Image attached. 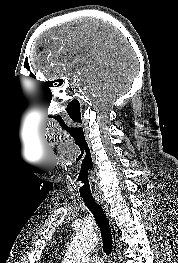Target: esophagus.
Returning <instances> with one entry per match:
<instances>
[{
    "label": "esophagus",
    "mask_w": 178,
    "mask_h": 263,
    "mask_svg": "<svg viewBox=\"0 0 178 263\" xmlns=\"http://www.w3.org/2000/svg\"><path fill=\"white\" fill-rule=\"evenodd\" d=\"M96 200L104 209V211L107 215L108 221H109L110 230H111V234H112V238H113V242H114V247L116 248V250H114V253H113V259H114L113 263H116V261H117L116 251H117V246H118V230L114 224V220H113V218L109 212L108 206H107L104 198L102 196H97Z\"/></svg>",
    "instance_id": "1"
}]
</instances>
